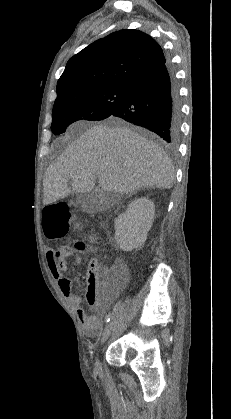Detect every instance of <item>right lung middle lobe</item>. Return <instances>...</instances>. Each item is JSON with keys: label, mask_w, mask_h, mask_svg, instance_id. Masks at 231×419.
<instances>
[{"label": "right lung middle lobe", "mask_w": 231, "mask_h": 419, "mask_svg": "<svg viewBox=\"0 0 231 419\" xmlns=\"http://www.w3.org/2000/svg\"><path fill=\"white\" fill-rule=\"evenodd\" d=\"M130 88L105 87L82 91L54 103L51 130L55 135L64 133L78 120H102L125 100Z\"/></svg>", "instance_id": "1"}]
</instances>
